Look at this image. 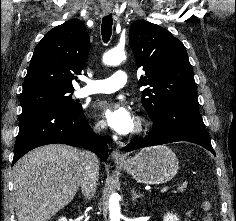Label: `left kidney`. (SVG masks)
<instances>
[{"label": "left kidney", "instance_id": "5707ae66", "mask_svg": "<svg viewBox=\"0 0 236 221\" xmlns=\"http://www.w3.org/2000/svg\"><path fill=\"white\" fill-rule=\"evenodd\" d=\"M163 221H179V218L175 214L168 213L164 216Z\"/></svg>", "mask_w": 236, "mask_h": 221}]
</instances>
